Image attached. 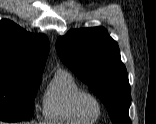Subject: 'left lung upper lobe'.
Segmentation results:
<instances>
[{
  "instance_id": "left-lung-upper-lobe-1",
  "label": "left lung upper lobe",
  "mask_w": 156,
  "mask_h": 124,
  "mask_svg": "<svg viewBox=\"0 0 156 124\" xmlns=\"http://www.w3.org/2000/svg\"><path fill=\"white\" fill-rule=\"evenodd\" d=\"M56 49L62 62L105 104L113 124H132L127 70L105 28L71 30L57 39Z\"/></svg>"
}]
</instances>
